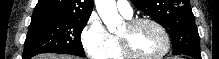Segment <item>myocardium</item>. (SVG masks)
Returning <instances> with one entry per match:
<instances>
[{"label": "myocardium", "mask_w": 219, "mask_h": 59, "mask_svg": "<svg viewBox=\"0 0 219 59\" xmlns=\"http://www.w3.org/2000/svg\"><path fill=\"white\" fill-rule=\"evenodd\" d=\"M141 24H151L159 30V32L162 34L164 41H165L164 49L161 52L153 56H140L133 52V50L130 48V45L126 39L118 36V43H119V46H120V49H121V52L124 58L126 59H162L166 55H168V53L171 50L172 42H171L170 34L165 28V26L159 21L153 18H148V17L135 18L127 22V25L130 28H135Z\"/></svg>", "instance_id": "1"}]
</instances>
